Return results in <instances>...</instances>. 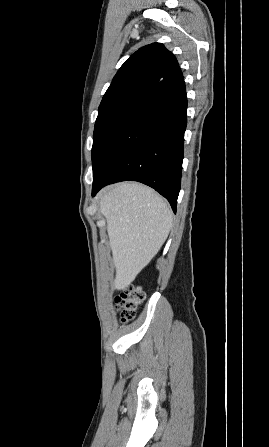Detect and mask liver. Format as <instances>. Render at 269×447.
Masks as SVG:
<instances>
[{
	"mask_svg": "<svg viewBox=\"0 0 269 447\" xmlns=\"http://www.w3.org/2000/svg\"><path fill=\"white\" fill-rule=\"evenodd\" d=\"M113 261L114 289H126L169 235L173 214L165 200L142 184H116L100 196Z\"/></svg>",
	"mask_w": 269,
	"mask_h": 447,
	"instance_id": "obj_1",
	"label": "liver"
}]
</instances>
